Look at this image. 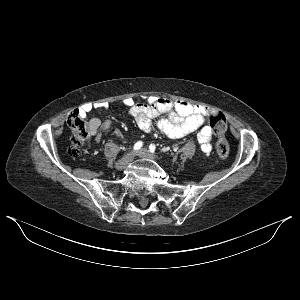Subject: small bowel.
Instances as JSON below:
<instances>
[{
    "instance_id": "c3829d8e",
    "label": "small bowel",
    "mask_w": 300,
    "mask_h": 300,
    "mask_svg": "<svg viewBox=\"0 0 300 300\" xmlns=\"http://www.w3.org/2000/svg\"><path fill=\"white\" fill-rule=\"evenodd\" d=\"M128 108L129 115L135 120L138 128L151 133L160 130L170 138H180L190 133L197 132V139L201 150L209 153L212 150L213 132L205 125V117L212 112V108L203 105H192L184 100H172L167 97L148 96L144 102H135L131 98L123 100ZM106 103H86L80 111L86 115L94 109H107ZM164 115L163 117H161ZM89 135L100 138L101 132L111 126V120L94 116L88 122Z\"/></svg>"
}]
</instances>
